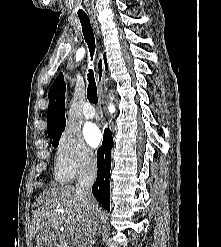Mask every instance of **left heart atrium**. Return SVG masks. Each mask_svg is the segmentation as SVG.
Here are the masks:
<instances>
[{
    "instance_id": "1",
    "label": "left heart atrium",
    "mask_w": 221,
    "mask_h": 247,
    "mask_svg": "<svg viewBox=\"0 0 221 247\" xmlns=\"http://www.w3.org/2000/svg\"><path fill=\"white\" fill-rule=\"evenodd\" d=\"M84 138L89 145L96 147L100 144L102 139V134L99 128L94 124H87L84 128Z\"/></svg>"
}]
</instances>
